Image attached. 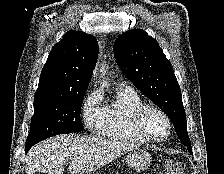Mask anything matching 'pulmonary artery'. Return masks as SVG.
I'll use <instances>...</instances> for the list:
<instances>
[{"mask_svg":"<svg viewBox=\"0 0 224 174\" xmlns=\"http://www.w3.org/2000/svg\"><path fill=\"white\" fill-rule=\"evenodd\" d=\"M121 88H124V89H132V87L130 85H124V84L121 86Z\"/></svg>","mask_w":224,"mask_h":174,"instance_id":"e3ab8cb5","label":"pulmonary artery"}]
</instances>
